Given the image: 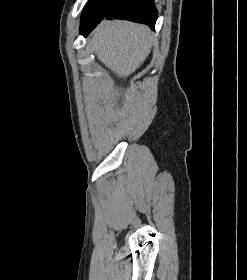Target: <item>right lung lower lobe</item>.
Returning <instances> with one entry per match:
<instances>
[{
    "instance_id": "98d812e1",
    "label": "right lung lower lobe",
    "mask_w": 247,
    "mask_h": 280,
    "mask_svg": "<svg viewBox=\"0 0 247 280\" xmlns=\"http://www.w3.org/2000/svg\"><path fill=\"white\" fill-rule=\"evenodd\" d=\"M157 15L153 0H112L101 17L81 25L80 31L86 36L103 18L111 19L113 17L144 23L154 29Z\"/></svg>"
}]
</instances>
